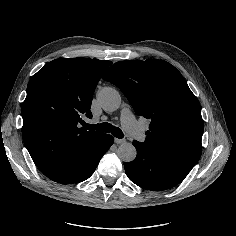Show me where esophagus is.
Returning <instances> with one entry per match:
<instances>
[{
  "instance_id": "1",
  "label": "esophagus",
  "mask_w": 236,
  "mask_h": 236,
  "mask_svg": "<svg viewBox=\"0 0 236 236\" xmlns=\"http://www.w3.org/2000/svg\"><path fill=\"white\" fill-rule=\"evenodd\" d=\"M114 141H115L116 144H122V143H124L125 140L124 139L115 138Z\"/></svg>"
}]
</instances>
